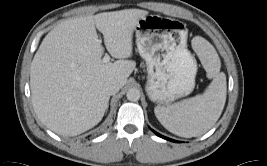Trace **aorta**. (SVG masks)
Returning a JSON list of instances; mask_svg holds the SVG:
<instances>
[{
	"label": "aorta",
	"instance_id": "762f6f07",
	"mask_svg": "<svg viewBox=\"0 0 267 166\" xmlns=\"http://www.w3.org/2000/svg\"><path fill=\"white\" fill-rule=\"evenodd\" d=\"M126 96L129 101L136 102L140 98V91L137 88H130Z\"/></svg>",
	"mask_w": 267,
	"mask_h": 166
}]
</instances>
